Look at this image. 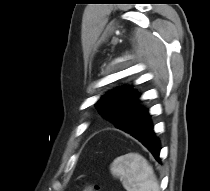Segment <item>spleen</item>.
Listing matches in <instances>:
<instances>
[{
    "label": "spleen",
    "instance_id": "obj_1",
    "mask_svg": "<svg viewBox=\"0 0 210 191\" xmlns=\"http://www.w3.org/2000/svg\"><path fill=\"white\" fill-rule=\"evenodd\" d=\"M110 170L113 176L120 178L127 191H160L153 168L138 153L117 157Z\"/></svg>",
    "mask_w": 210,
    "mask_h": 191
}]
</instances>
